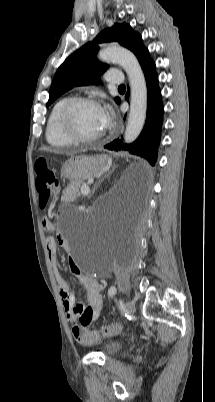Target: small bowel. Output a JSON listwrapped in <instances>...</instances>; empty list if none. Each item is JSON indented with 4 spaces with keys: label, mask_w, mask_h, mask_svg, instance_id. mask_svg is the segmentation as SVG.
I'll return each instance as SVG.
<instances>
[{
    "label": "small bowel",
    "mask_w": 215,
    "mask_h": 402,
    "mask_svg": "<svg viewBox=\"0 0 215 402\" xmlns=\"http://www.w3.org/2000/svg\"><path fill=\"white\" fill-rule=\"evenodd\" d=\"M44 227V226H43ZM48 232H55V227L51 222L48 228L44 227ZM62 248H68V242L66 238L59 232H57L56 239L53 237H47L46 248L49 256L50 263L53 268V272L58 285V292L62 300L63 308L66 313L67 319L73 324L88 325L93 321L100 318L103 312V300L102 290L103 286L94 278L81 273L78 266L74 263H70L71 272L79 279L80 283L86 290L88 306L81 303H76L75 296L71 293L69 285L65 277L60 272L57 259V246ZM87 311H91V314L84 321Z\"/></svg>",
    "instance_id": "1"
}]
</instances>
